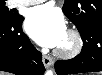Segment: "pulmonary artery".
<instances>
[{
  "mask_svg": "<svg viewBox=\"0 0 102 75\" xmlns=\"http://www.w3.org/2000/svg\"><path fill=\"white\" fill-rule=\"evenodd\" d=\"M45 0H17L18 5H23V4H32V3H42Z\"/></svg>",
  "mask_w": 102,
  "mask_h": 75,
  "instance_id": "obj_1",
  "label": "pulmonary artery"
}]
</instances>
